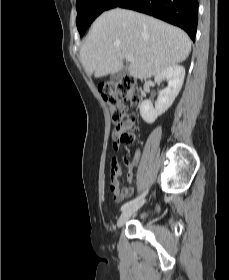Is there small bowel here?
Wrapping results in <instances>:
<instances>
[{"label": "small bowel", "instance_id": "c3829d8e", "mask_svg": "<svg viewBox=\"0 0 229 280\" xmlns=\"http://www.w3.org/2000/svg\"><path fill=\"white\" fill-rule=\"evenodd\" d=\"M121 173L120 164L117 160H114L112 162V168H111V190L113 192L114 201L116 203H120L123 200L129 198L133 194V188H127L123 191H119V176ZM133 180V173H132V165L128 166V173H127V181L131 183Z\"/></svg>", "mask_w": 229, "mask_h": 280}]
</instances>
